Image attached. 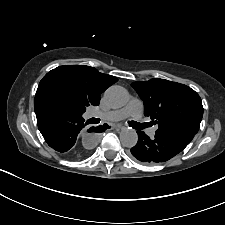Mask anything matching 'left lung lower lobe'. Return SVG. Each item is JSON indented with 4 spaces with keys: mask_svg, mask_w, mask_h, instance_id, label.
<instances>
[{
    "mask_svg": "<svg viewBox=\"0 0 225 225\" xmlns=\"http://www.w3.org/2000/svg\"><path fill=\"white\" fill-rule=\"evenodd\" d=\"M138 142L131 148L132 156L145 164L165 162L178 153L194 138L191 132L157 134L153 139L142 131H137Z\"/></svg>",
    "mask_w": 225,
    "mask_h": 225,
    "instance_id": "left-lung-lower-lobe-1",
    "label": "left lung lower lobe"
}]
</instances>
